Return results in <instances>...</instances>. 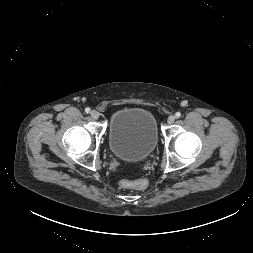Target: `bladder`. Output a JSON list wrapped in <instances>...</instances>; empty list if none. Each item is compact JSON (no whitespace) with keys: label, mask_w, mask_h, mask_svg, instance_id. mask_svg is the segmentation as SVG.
I'll use <instances>...</instances> for the list:
<instances>
[{"label":"bladder","mask_w":253,"mask_h":253,"mask_svg":"<svg viewBox=\"0 0 253 253\" xmlns=\"http://www.w3.org/2000/svg\"><path fill=\"white\" fill-rule=\"evenodd\" d=\"M157 143V123L149 110L125 107L112 114L108 144L118 159L131 163L142 162L152 155Z\"/></svg>","instance_id":"obj_1"}]
</instances>
